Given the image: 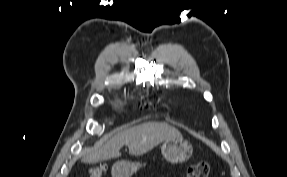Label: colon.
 <instances>
[{
    "label": "colon",
    "instance_id": "1",
    "mask_svg": "<svg viewBox=\"0 0 287 177\" xmlns=\"http://www.w3.org/2000/svg\"><path fill=\"white\" fill-rule=\"evenodd\" d=\"M107 170L105 164H98L89 170V177H104ZM210 166L205 161L197 162L188 169V177H209Z\"/></svg>",
    "mask_w": 287,
    "mask_h": 177
}]
</instances>
